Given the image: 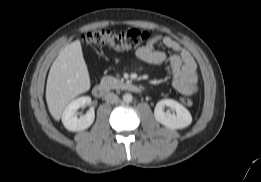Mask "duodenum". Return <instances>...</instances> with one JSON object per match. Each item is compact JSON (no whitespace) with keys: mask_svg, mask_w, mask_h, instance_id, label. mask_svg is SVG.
Instances as JSON below:
<instances>
[{"mask_svg":"<svg viewBox=\"0 0 261 182\" xmlns=\"http://www.w3.org/2000/svg\"><path fill=\"white\" fill-rule=\"evenodd\" d=\"M124 89L139 93L141 92V88L135 83L128 81L123 85ZM107 93V87L102 84H98L93 88V95L96 98H103Z\"/></svg>","mask_w":261,"mask_h":182,"instance_id":"1","label":"duodenum"}]
</instances>
